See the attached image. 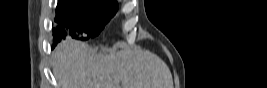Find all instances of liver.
Segmentation results:
<instances>
[{
  "mask_svg": "<svg viewBox=\"0 0 267 88\" xmlns=\"http://www.w3.org/2000/svg\"><path fill=\"white\" fill-rule=\"evenodd\" d=\"M51 60L60 88H173L165 62L139 47L104 55L67 39L57 45Z\"/></svg>",
  "mask_w": 267,
  "mask_h": 88,
  "instance_id": "1",
  "label": "liver"
}]
</instances>
